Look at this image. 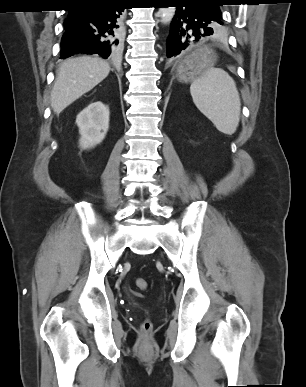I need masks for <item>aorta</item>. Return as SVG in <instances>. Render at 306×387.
I'll list each match as a JSON object with an SVG mask.
<instances>
[{
	"label": "aorta",
	"mask_w": 306,
	"mask_h": 387,
	"mask_svg": "<svg viewBox=\"0 0 306 387\" xmlns=\"http://www.w3.org/2000/svg\"><path fill=\"white\" fill-rule=\"evenodd\" d=\"M175 12H176L175 7H161L159 9L161 22L164 24L170 23L175 15Z\"/></svg>",
	"instance_id": "762f6f07"
}]
</instances>
